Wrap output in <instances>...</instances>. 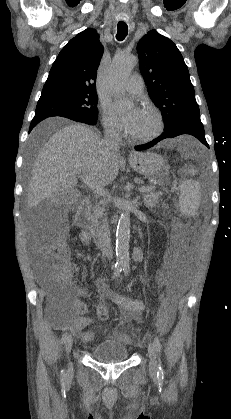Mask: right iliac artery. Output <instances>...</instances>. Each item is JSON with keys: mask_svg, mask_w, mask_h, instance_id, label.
Returning <instances> with one entry per match:
<instances>
[{"mask_svg": "<svg viewBox=\"0 0 231 419\" xmlns=\"http://www.w3.org/2000/svg\"><path fill=\"white\" fill-rule=\"evenodd\" d=\"M122 268H123V266L120 265V264H116L115 265V270H114V273H113V278H116L120 274V272L122 271ZM67 338H68L67 333H64L63 336H62V339H61L62 344L66 342ZM61 376H62V379L65 378V372H64V370L61 371Z\"/></svg>", "mask_w": 231, "mask_h": 419, "instance_id": "obj_1", "label": "right iliac artery"}]
</instances>
